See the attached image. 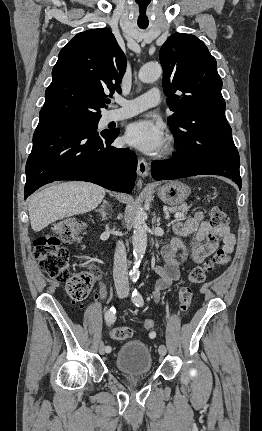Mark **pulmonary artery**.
Segmentation results:
<instances>
[{
  "label": "pulmonary artery",
  "instance_id": "obj_1",
  "mask_svg": "<svg viewBox=\"0 0 262 431\" xmlns=\"http://www.w3.org/2000/svg\"><path fill=\"white\" fill-rule=\"evenodd\" d=\"M160 90L153 87L148 92L137 96L133 99L119 98L117 102L122 106L119 109L110 111L107 119L108 121H119L132 117L140 112H143L151 107L157 106L161 103Z\"/></svg>",
  "mask_w": 262,
  "mask_h": 431
}]
</instances>
